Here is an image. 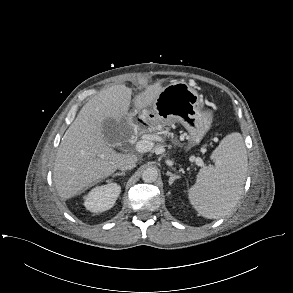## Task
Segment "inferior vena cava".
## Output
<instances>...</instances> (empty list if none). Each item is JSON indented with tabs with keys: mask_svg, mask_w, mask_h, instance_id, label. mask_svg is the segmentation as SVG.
Returning <instances> with one entry per match:
<instances>
[{
	"mask_svg": "<svg viewBox=\"0 0 293 293\" xmlns=\"http://www.w3.org/2000/svg\"><path fill=\"white\" fill-rule=\"evenodd\" d=\"M136 166V160L133 156L127 155L125 160L119 166L122 171L133 169Z\"/></svg>",
	"mask_w": 293,
	"mask_h": 293,
	"instance_id": "obj_1",
	"label": "inferior vena cava"
}]
</instances>
